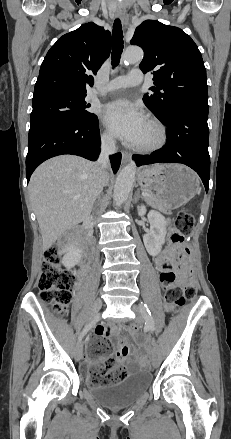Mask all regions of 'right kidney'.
I'll return each mask as SVG.
<instances>
[{
	"label": "right kidney",
	"instance_id": "ca27d5eb",
	"mask_svg": "<svg viewBox=\"0 0 231 439\" xmlns=\"http://www.w3.org/2000/svg\"><path fill=\"white\" fill-rule=\"evenodd\" d=\"M63 253L64 257L61 262L67 269H71L81 260L82 250L75 245L67 246Z\"/></svg>",
	"mask_w": 231,
	"mask_h": 439
}]
</instances>
